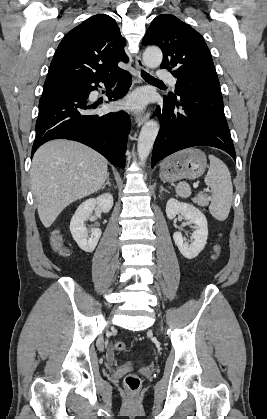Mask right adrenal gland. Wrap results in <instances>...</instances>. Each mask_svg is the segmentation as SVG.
<instances>
[{
	"label": "right adrenal gland",
	"mask_w": 267,
	"mask_h": 419,
	"mask_svg": "<svg viewBox=\"0 0 267 419\" xmlns=\"http://www.w3.org/2000/svg\"><path fill=\"white\" fill-rule=\"evenodd\" d=\"M106 185L111 186L109 174H108V176H107L106 183L102 186V189H104Z\"/></svg>",
	"instance_id": "1"
}]
</instances>
